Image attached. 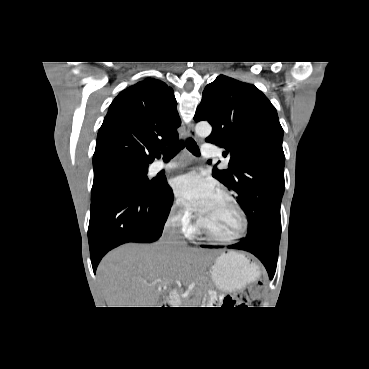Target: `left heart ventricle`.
<instances>
[{
  "mask_svg": "<svg viewBox=\"0 0 369 369\" xmlns=\"http://www.w3.org/2000/svg\"><path fill=\"white\" fill-rule=\"evenodd\" d=\"M200 218L206 228L220 236L231 237L240 231L241 220L237 210L218 194Z\"/></svg>",
  "mask_w": 369,
  "mask_h": 369,
  "instance_id": "left-heart-ventricle-1",
  "label": "left heart ventricle"
}]
</instances>
